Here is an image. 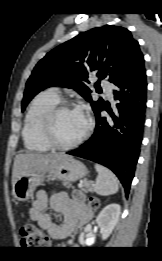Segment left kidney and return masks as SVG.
<instances>
[{"label":"left kidney","mask_w":162,"mask_h":261,"mask_svg":"<svg viewBox=\"0 0 162 261\" xmlns=\"http://www.w3.org/2000/svg\"><path fill=\"white\" fill-rule=\"evenodd\" d=\"M121 207L119 204L112 203L103 208L96 218V222L101 230L102 240H106L115 228Z\"/></svg>","instance_id":"5707ae66"}]
</instances>
